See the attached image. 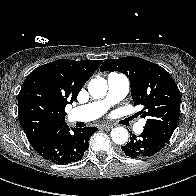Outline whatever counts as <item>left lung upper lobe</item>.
Wrapping results in <instances>:
<instances>
[{"mask_svg":"<svg viewBox=\"0 0 196 196\" xmlns=\"http://www.w3.org/2000/svg\"><path fill=\"white\" fill-rule=\"evenodd\" d=\"M100 71H118L129 77L134 105L146 118L144 129L168 142L180 116L181 95L171 75L161 66L139 57L106 60Z\"/></svg>","mask_w":196,"mask_h":196,"instance_id":"1","label":"left lung upper lobe"}]
</instances>
